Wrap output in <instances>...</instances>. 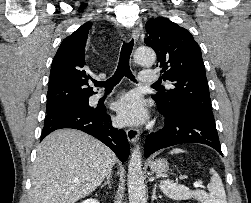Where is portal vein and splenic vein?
Returning a JSON list of instances; mask_svg holds the SVG:
<instances>
[{"instance_id": "18ae733b", "label": "portal vein and splenic vein", "mask_w": 251, "mask_h": 203, "mask_svg": "<svg viewBox=\"0 0 251 203\" xmlns=\"http://www.w3.org/2000/svg\"><path fill=\"white\" fill-rule=\"evenodd\" d=\"M193 186H194L195 188H198V187H200L201 185H200L199 182H194V183H193Z\"/></svg>"}]
</instances>
